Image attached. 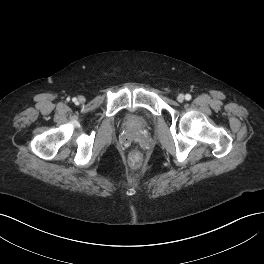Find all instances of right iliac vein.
Returning a JSON list of instances; mask_svg holds the SVG:
<instances>
[{
	"mask_svg": "<svg viewBox=\"0 0 264 264\" xmlns=\"http://www.w3.org/2000/svg\"><path fill=\"white\" fill-rule=\"evenodd\" d=\"M85 102V97L79 96L78 97V103H84Z\"/></svg>",
	"mask_w": 264,
	"mask_h": 264,
	"instance_id": "1",
	"label": "right iliac vein"
}]
</instances>
